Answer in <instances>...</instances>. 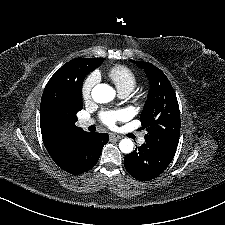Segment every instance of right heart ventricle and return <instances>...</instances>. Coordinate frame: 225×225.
<instances>
[{
    "mask_svg": "<svg viewBox=\"0 0 225 225\" xmlns=\"http://www.w3.org/2000/svg\"><path fill=\"white\" fill-rule=\"evenodd\" d=\"M109 78L115 83L118 91L130 93L137 84L135 73L126 66H115L107 72Z\"/></svg>",
    "mask_w": 225,
    "mask_h": 225,
    "instance_id": "1",
    "label": "right heart ventricle"
}]
</instances>
